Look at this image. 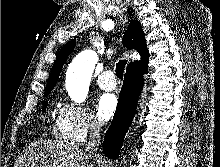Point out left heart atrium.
Segmentation results:
<instances>
[{
    "label": "left heart atrium",
    "instance_id": "39dd6f15",
    "mask_svg": "<svg viewBox=\"0 0 220 167\" xmlns=\"http://www.w3.org/2000/svg\"><path fill=\"white\" fill-rule=\"evenodd\" d=\"M117 109V98L113 94H102L97 101L96 113L101 122H106L112 118Z\"/></svg>",
    "mask_w": 220,
    "mask_h": 167
}]
</instances>
